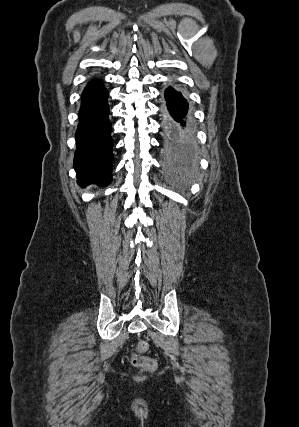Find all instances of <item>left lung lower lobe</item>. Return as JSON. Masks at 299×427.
<instances>
[{
	"label": "left lung lower lobe",
	"instance_id": "obj_1",
	"mask_svg": "<svg viewBox=\"0 0 299 427\" xmlns=\"http://www.w3.org/2000/svg\"><path fill=\"white\" fill-rule=\"evenodd\" d=\"M165 99L167 106L163 110L165 152L170 157L187 156L195 148L193 133L187 125L188 103L181 92L173 87L165 90Z\"/></svg>",
	"mask_w": 299,
	"mask_h": 427
}]
</instances>
